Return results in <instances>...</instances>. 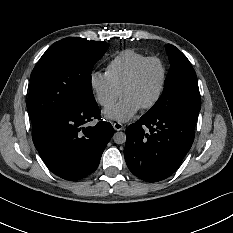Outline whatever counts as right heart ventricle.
I'll return each instance as SVG.
<instances>
[{"instance_id": "1", "label": "right heart ventricle", "mask_w": 233, "mask_h": 233, "mask_svg": "<svg viewBox=\"0 0 233 233\" xmlns=\"http://www.w3.org/2000/svg\"><path fill=\"white\" fill-rule=\"evenodd\" d=\"M147 56L133 49H125L114 55L105 66V75L111 83L121 89L122 84Z\"/></svg>"}]
</instances>
